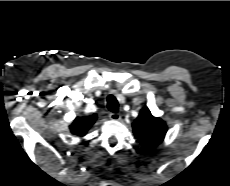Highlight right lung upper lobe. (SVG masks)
I'll return each mask as SVG.
<instances>
[{"instance_id": "obj_1", "label": "right lung upper lobe", "mask_w": 230, "mask_h": 186, "mask_svg": "<svg viewBox=\"0 0 230 186\" xmlns=\"http://www.w3.org/2000/svg\"><path fill=\"white\" fill-rule=\"evenodd\" d=\"M96 119V114L86 117H77L70 125V130L73 134L84 136L88 129L94 124Z\"/></svg>"}]
</instances>
